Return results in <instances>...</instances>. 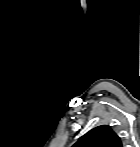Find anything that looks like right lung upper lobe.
I'll list each match as a JSON object with an SVG mask.
<instances>
[{"label":"right lung upper lobe","mask_w":140,"mask_h":147,"mask_svg":"<svg viewBox=\"0 0 140 147\" xmlns=\"http://www.w3.org/2000/svg\"><path fill=\"white\" fill-rule=\"evenodd\" d=\"M75 147H122L118 135L107 125L98 126L84 136L75 144Z\"/></svg>","instance_id":"obj_1"}]
</instances>
